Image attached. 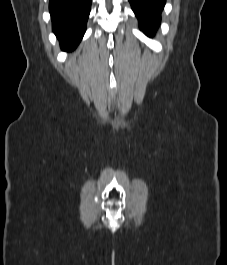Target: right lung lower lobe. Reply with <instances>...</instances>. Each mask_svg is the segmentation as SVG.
I'll return each instance as SVG.
<instances>
[{
    "instance_id": "1",
    "label": "right lung lower lobe",
    "mask_w": 227,
    "mask_h": 265,
    "mask_svg": "<svg viewBox=\"0 0 227 265\" xmlns=\"http://www.w3.org/2000/svg\"><path fill=\"white\" fill-rule=\"evenodd\" d=\"M92 0H49L53 32L62 50L71 51L85 31Z\"/></svg>"
}]
</instances>
